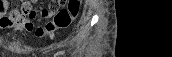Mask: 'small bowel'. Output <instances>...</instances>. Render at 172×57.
Here are the masks:
<instances>
[{"label":"small bowel","instance_id":"obj_1","mask_svg":"<svg viewBox=\"0 0 172 57\" xmlns=\"http://www.w3.org/2000/svg\"><path fill=\"white\" fill-rule=\"evenodd\" d=\"M36 1H20L10 3L7 0H0V31L8 30L9 32H31L34 30L32 21L39 17L41 19L50 17L53 12L48 8L35 10V15L30 17L24 15L21 9L24 5H29L33 9ZM45 26L35 29L38 37H45Z\"/></svg>","mask_w":172,"mask_h":57}]
</instances>
